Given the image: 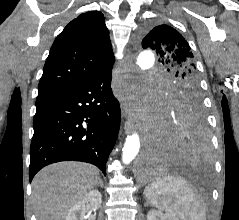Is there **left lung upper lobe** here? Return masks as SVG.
I'll list each match as a JSON object with an SVG mask.
<instances>
[{"mask_svg":"<svg viewBox=\"0 0 239 220\" xmlns=\"http://www.w3.org/2000/svg\"><path fill=\"white\" fill-rule=\"evenodd\" d=\"M142 47L155 50L159 61L175 74L164 96L166 110L198 108L203 111L202 93L191 48L184 37L166 24L148 26L143 32Z\"/></svg>","mask_w":239,"mask_h":220,"instance_id":"left-lung-upper-lobe-1","label":"left lung upper lobe"}]
</instances>
